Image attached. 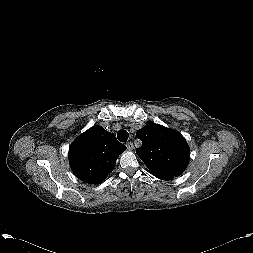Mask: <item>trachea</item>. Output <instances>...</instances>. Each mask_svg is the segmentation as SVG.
<instances>
[{
  "instance_id": "3493384b",
  "label": "trachea",
  "mask_w": 253,
  "mask_h": 253,
  "mask_svg": "<svg viewBox=\"0 0 253 253\" xmlns=\"http://www.w3.org/2000/svg\"><path fill=\"white\" fill-rule=\"evenodd\" d=\"M129 134L126 130L121 129L117 133V138L121 142H126L128 140Z\"/></svg>"
}]
</instances>
